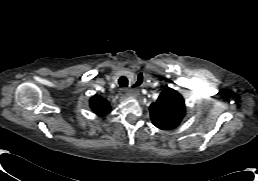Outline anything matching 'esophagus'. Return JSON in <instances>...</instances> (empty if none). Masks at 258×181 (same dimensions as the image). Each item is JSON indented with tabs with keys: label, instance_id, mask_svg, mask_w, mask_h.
I'll list each match as a JSON object with an SVG mask.
<instances>
[{
	"label": "esophagus",
	"instance_id": "34e87169",
	"mask_svg": "<svg viewBox=\"0 0 258 181\" xmlns=\"http://www.w3.org/2000/svg\"><path fill=\"white\" fill-rule=\"evenodd\" d=\"M124 91L126 92L127 95L133 94V90L125 89Z\"/></svg>",
	"mask_w": 258,
	"mask_h": 181
}]
</instances>
